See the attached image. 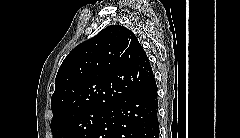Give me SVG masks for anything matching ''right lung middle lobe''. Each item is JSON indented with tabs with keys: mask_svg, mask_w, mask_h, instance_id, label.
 <instances>
[{
	"mask_svg": "<svg viewBox=\"0 0 240 138\" xmlns=\"http://www.w3.org/2000/svg\"><path fill=\"white\" fill-rule=\"evenodd\" d=\"M107 108H90L51 122L53 138H90Z\"/></svg>",
	"mask_w": 240,
	"mask_h": 138,
	"instance_id": "1",
	"label": "right lung middle lobe"
}]
</instances>
